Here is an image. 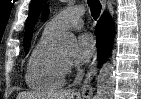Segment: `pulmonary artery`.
<instances>
[{
  "label": "pulmonary artery",
  "mask_w": 141,
  "mask_h": 99,
  "mask_svg": "<svg viewBox=\"0 0 141 99\" xmlns=\"http://www.w3.org/2000/svg\"><path fill=\"white\" fill-rule=\"evenodd\" d=\"M83 13L81 6L70 7L48 21L44 30L57 35L67 29H79L83 26Z\"/></svg>",
  "instance_id": "e3ab8cb5"
}]
</instances>
